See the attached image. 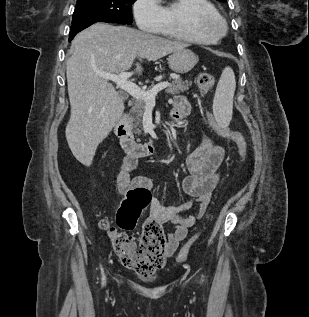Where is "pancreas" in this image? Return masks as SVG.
<instances>
[{"label": "pancreas", "mask_w": 309, "mask_h": 317, "mask_svg": "<svg viewBox=\"0 0 309 317\" xmlns=\"http://www.w3.org/2000/svg\"><path fill=\"white\" fill-rule=\"evenodd\" d=\"M191 85V82L182 81L180 76H174L169 87L166 89V93L172 95L183 93L184 91L188 90ZM149 90H151V88H149L148 91ZM145 107L146 103L143 100L137 99L131 108V113L133 115L131 121L133 123V127L135 128V133L138 135L141 134L142 116L145 111Z\"/></svg>", "instance_id": "1"}]
</instances>
